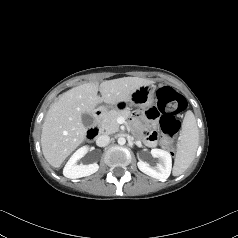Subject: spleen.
<instances>
[{"label":"spleen","instance_id":"obj_1","mask_svg":"<svg viewBox=\"0 0 238 238\" xmlns=\"http://www.w3.org/2000/svg\"><path fill=\"white\" fill-rule=\"evenodd\" d=\"M199 132L194 114L187 111L182 123L180 143L178 144L173 175H181L194 160L198 148Z\"/></svg>","mask_w":238,"mask_h":238}]
</instances>
